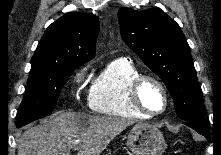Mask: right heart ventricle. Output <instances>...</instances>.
<instances>
[{"label": "right heart ventricle", "instance_id": "1", "mask_svg": "<svg viewBox=\"0 0 221 155\" xmlns=\"http://www.w3.org/2000/svg\"><path fill=\"white\" fill-rule=\"evenodd\" d=\"M140 75L139 70L128 59L111 61L93 80L88 94L92 111L121 118H146L133 108L128 96L132 81Z\"/></svg>", "mask_w": 221, "mask_h": 155}]
</instances>
